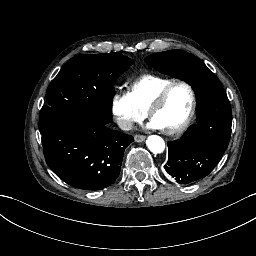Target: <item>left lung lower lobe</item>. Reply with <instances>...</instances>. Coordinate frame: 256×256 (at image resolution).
Masks as SVG:
<instances>
[{"mask_svg": "<svg viewBox=\"0 0 256 256\" xmlns=\"http://www.w3.org/2000/svg\"><path fill=\"white\" fill-rule=\"evenodd\" d=\"M172 177L175 178V180L180 184H189L194 181H197L205 176H190V175H175L172 173H169Z\"/></svg>", "mask_w": 256, "mask_h": 256, "instance_id": "0a47b994", "label": "left lung lower lobe"}]
</instances>
